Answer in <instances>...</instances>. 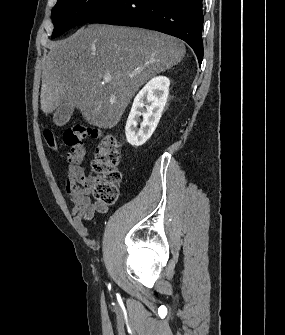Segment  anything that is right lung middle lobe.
Here are the masks:
<instances>
[{
    "label": "right lung middle lobe",
    "mask_w": 285,
    "mask_h": 335,
    "mask_svg": "<svg viewBox=\"0 0 285 335\" xmlns=\"http://www.w3.org/2000/svg\"><path fill=\"white\" fill-rule=\"evenodd\" d=\"M119 0H58L52 9L54 30L52 38L62 35L70 28L85 23Z\"/></svg>",
    "instance_id": "right-lung-middle-lobe-1"
}]
</instances>
